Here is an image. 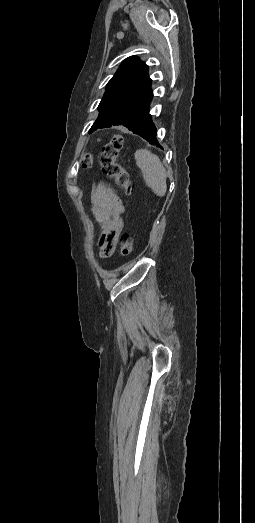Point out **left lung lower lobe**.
<instances>
[{
  "label": "left lung lower lobe",
  "instance_id": "0a47b994",
  "mask_svg": "<svg viewBox=\"0 0 255 523\" xmlns=\"http://www.w3.org/2000/svg\"><path fill=\"white\" fill-rule=\"evenodd\" d=\"M144 132L139 133L140 137H145V140H148L146 141V144H148L149 146H155L157 150H162L164 148V145L162 143H159V134H156L157 128H154L153 130H144Z\"/></svg>",
  "mask_w": 255,
  "mask_h": 523
}]
</instances>
